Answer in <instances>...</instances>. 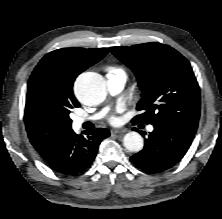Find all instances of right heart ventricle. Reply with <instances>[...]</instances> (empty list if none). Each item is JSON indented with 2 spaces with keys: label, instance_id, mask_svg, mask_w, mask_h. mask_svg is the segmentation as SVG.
Wrapping results in <instances>:
<instances>
[{
  "label": "right heart ventricle",
  "instance_id": "1",
  "mask_svg": "<svg viewBox=\"0 0 222 219\" xmlns=\"http://www.w3.org/2000/svg\"><path fill=\"white\" fill-rule=\"evenodd\" d=\"M110 69H117V68H110ZM110 69H109V70H110ZM118 70H121V69H118Z\"/></svg>",
  "mask_w": 222,
  "mask_h": 219
}]
</instances>
